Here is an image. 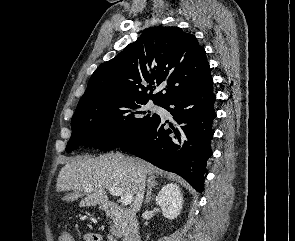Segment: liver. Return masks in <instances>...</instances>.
<instances>
[{
  "mask_svg": "<svg viewBox=\"0 0 295 241\" xmlns=\"http://www.w3.org/2000/svg\"><path fill=\"white\" fill-rule=\"evenodd\" d=\"M157 168L150 163L122 154L110 153L93 158L90 156L72 159L62 167L57 178L59 192L73 191L63 200L74 201L85 196L80 207L95 206L108 202L106 189L119 187L125 193L136 194L138 191V172L153 175ZM88 191L85 190L89 187ZM84 191V194L80 192Z\"/></svg>",
  "mask_w": 295,
  "mask_h": 241,
  "instance_id": "liver-1",
  "label": "liver"
}]
</instances>
